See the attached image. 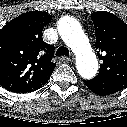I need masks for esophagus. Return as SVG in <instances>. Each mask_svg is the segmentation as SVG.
I'll use <instances>...</instances> for the list:
<instances>
[{
  "label": "esophagus",
  "instance_id": "1",
  "mask_svg": "<svg viewBox=\"0 0 127 127\" xmlns=\"http://www.w3.org/2000/svg\"><path fill=\"white\" fill-rule=\"evenodd\" d=\"M60 60L62 62H72L74 60V56H70V57H61Z\"/></svg>",
  "mask_w": 127,
  "mask_h": 127
}]
</instances>
